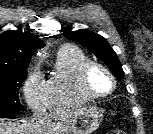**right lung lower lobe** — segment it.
Returning a JSON list of instances; mask_svg holds the SVG:
<instances>
[{
	"mask_svg": "<svg viewBox=\"0 0 153 134\" xmlns=\"http://www.w3.org/2000/svg\"><path fill=\"white\" fill-rule=\"evenodd\" d=\"M0 118H15V116L11 113H0Z\"/></svg>",
	"mask_w": 153,
	"mask_h": 134,
	"instance_id": "right-lung-lower-lobe-1",
	"label": "right lung lower lobe"
}]
</instances>
